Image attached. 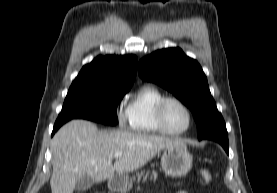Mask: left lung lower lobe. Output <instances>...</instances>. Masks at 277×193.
Wrapping results in <instances>:
<instances>
[{
	"label": "left lung lower lobe",
	"mask_w": 277,
	"mask_h": 193,
	"mask_svg": "<svg viewBox=\"0 0 277 193\" xmlns=\"http://www.w3.org/2000/svg\"><path fill=\"white\" fill-rule=\"evenodd\" d=\"M205 139L214 140V141L220 143L223 146V148L225 149V151L227 153H229V142H228L227 130L213 132V133L209 134L208 137H206Z\"/></svg>",
	"instance_id": "0a47b994"
}]
</instances>
